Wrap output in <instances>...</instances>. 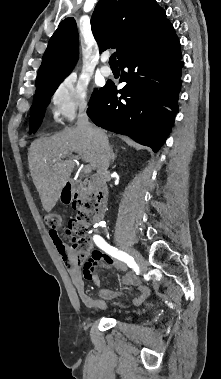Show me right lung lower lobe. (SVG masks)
<instances>
[{
  "label": "right lung lower lobe",
  "instance_id": "right-lung-lower-lobe-1",
  "mask_svg": "<svg viewBox=\"0 0 221 379\" xmlns=\"http://www.w3.org/2000/svg\"><path fill=\"white\" fill-rule=\"evenodd\" d=\"M181 59L179 39L168 21L118 59L120 82L127 85L117 91L113 83L106 84L89 105L88 116L97 126L128 135L157 152L178 112Z\"/></svg>",
  "mask_w": 221,
  "mask_h": 379
}]
</instances>
